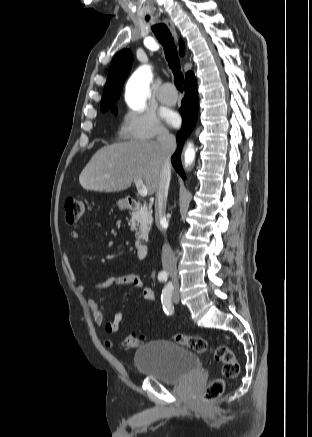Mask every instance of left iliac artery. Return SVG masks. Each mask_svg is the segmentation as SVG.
<instances>
[{"instance_id": "44dca946", "label": "left iliac artery", "mask_w": 312, "mask_h": 437, "mask_svg": "<svg viewBox=\"0 0 312 437\" xmlns=\"http://www.w3.org/2000/svg\"><path fill=\"white\" fill-rule=\"evenodd\" d=\"M174 287L172 285V283H168L162 290V294H161V301H162V305H163V309L165 311V313L167 314H172L173 310H172V303H171V296H172V291H173Z\"/></svg>"}]
</instances>
